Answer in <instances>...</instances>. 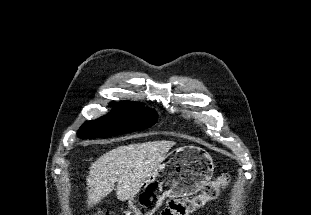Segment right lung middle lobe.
Segmentation results:
<instances>
[{
    "mask_svg": "<svg viewBox=\"0 0 311 215\" xmlns=\"http://www.w3.org/2000/svg\"><path fill=\"white\" fill-rule=\"evenodd\" d=\"M113 112L96 121H88L81 126V139L106 138L151 127L157 122V113L139 106L137 103H113Z\"/></svg>",
    "mask_w": 311,
    "mask_h": 215,
    "instance_id": "dd1d6c3e",
    "label": "right lung middle lobe"
}]
</instances>
